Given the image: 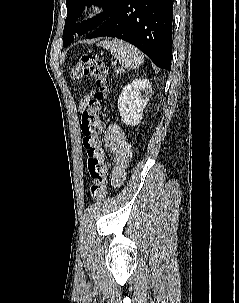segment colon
Segmentation results:
<instances>
[{
    "label": "colon",
    "instance_id": "colon-1",
    "mask_svg": "<svg viewBox=\"0 0 239 303\" xmlns=\"http://www.w3.org/2000/svg\"><path fill=\"white\" fill-rule=\"evenodd\" d=\"M75 80L92 78L96 83L94 97L90 100L81 122L83 146L87 152V169L91 178L89 193L92 199L102 200L107 194L108 166L101 145L104 125L100 114L104 110L112 78L107 65L92 54H84L71 69Z\"/></svg>",
    "mask_w": 239,
    "mask_h": 303
}]
</instances>
